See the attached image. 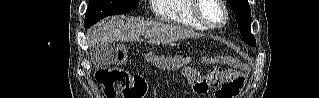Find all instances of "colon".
Returning <instances> with one entry per match:
<instances>
[{
	"label": "colon",
	"instance_id": "colon-1",
	"mask_svg": "<svg viewBox=\"0 0 319 98\" xmlns=\"http://www.w3.org/2000/svg\"><path fill=\"white\" fill-rule=\"evenodd\" d=\"M128 54L124 47L116 49V62L124 63ZM148 61L161 69H177L184 61L177 56L165 57L148 55ZM221 63L230 65L228 69L213 68L207 74L210 87L219 86L212 98H234L244 84V77L240 70L234 68L235 62L229 57H221ZM97 85L104 97L142 98L146 92V83L141 76L131 75L122 69H101L95 77Z\"/></svg>",
	"mask_w": 319,
	"mask_h": 98
}]
</instances>
